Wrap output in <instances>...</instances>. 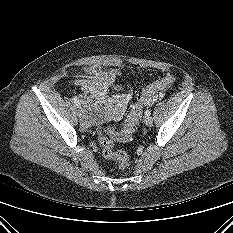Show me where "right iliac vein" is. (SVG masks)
<instances>
[{
    "label": "right iliac vein",
    "mask_w": 233,
    "mask_h": 233,
    "mask_svg": "<svg viewBox=\"0 0 233 233\" xmlns=\"http://www.w3.org/2000/svg\"><path fill=\"white\" fill-rule=\"evenodd\" d=\"M78 114L82 117V118H85L86 117V114L84 112L83 109H78Z\"/></svg>",
    "instance_id": "right-iliac-vein-1"
}]
</instances>
